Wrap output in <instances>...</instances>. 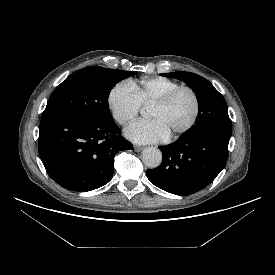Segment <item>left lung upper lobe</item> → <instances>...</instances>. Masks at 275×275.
Segmentation results:
<instances>
[{
    "instance_id": "5c2ea615",
    "label": "left lung upper lobe",
    "mask_w": 275,
    "mask_h": 275,
    "mask_svg": "<svg viewBox=\"0 0 275 275\" xmlns=\"http://www.w3.org/2000/svg\"><path fill=\"white\" fill-rule=\"evenodd\" d=\"M161 76L184 81L196 94L199 106L198 118L195 126L184 136L202 134L231 136L232 124L226 101L207 79L185 71L162 73Z\"/></svg>"
}]
</instances>
